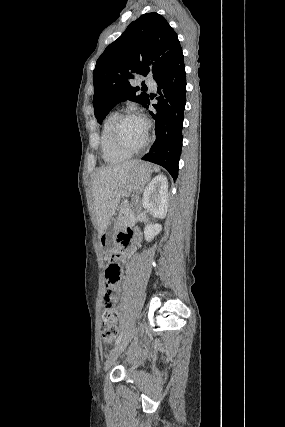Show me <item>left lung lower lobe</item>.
<instances>
[{
  "mask_svg": "<svg viewBox=\"0 0 285 427\" xmlns=\"http://www.w3.org/2000/svg\"><path fill=\"white\" fill-rule=\"evenodd\" d=\"M185 65L182 51L176 56L167 71L159 77L158 93L161 95L157 108L158 116L150 114L156 121L157 139L142 160L163 166L176 180L182 147V128L186 104ZM150 101L146 108L149 107Z\"/></svg>",
  "mask_w": 285,
  "mask_h": 427,
  "instance_id": "obj_1",
  "label": "left lung lower lobe"
}]
</instances>
